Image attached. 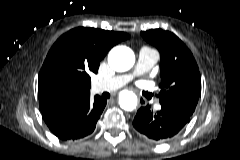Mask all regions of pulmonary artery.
Here are the masks:
<instances>
[{
	"instance_id": "e3ab8cb5",
	"label": "pulmonary artery",
	"mask_w": 240,
	"mask_h": 160,
	"mask_svg": "<svg viewBox=\"0 0 240 160\" xmlns=\"http://www.w3.org/2000/svg\"><path fill=\"white\" fill-rule=\"evenodd\" d=\"M159 59V54L157 51L149 48L142 47L139 50L137 63L134 70L128 74L117 75L106 80L97 82L93 85V90L95 92H101L104 90H116L131 82L136 77L147 73L150 71ZM160 109V105L156 106Z\"/></svg>"
}]
</instances>
